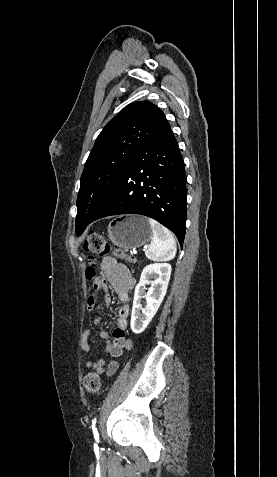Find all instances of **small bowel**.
Masks as SVG:
<instances>
[{
  "mask_svg": "<svg viewBox=\"0 0 277 477\" xmlns=\"http://www.w3.org/2000/svg\"><path fill=\"white\" fill-rule=\"evenodd\" d=\"M102 277L98 279V284L95 287L97 290H101L104 293L106 303H109L110 296L108 293L107 284L109 283L117 294L118 300L123 303L117 312L116 327L112 333V340H110L109 333L105 330L100 332V337L106 341V352L112 357H118L122 354L123 350H129L131 348V341L127 335L128 327V315L129 305L126 303L129 298V293L135 287V279L130 274L127 267L118 263L113 257H104L101 262ZM97 293H92L87 301V306L90 310L94 309L97 303ZM99 317H96L94 322L98 324ZM91 332L86 329L81 338V347L85 352L90 351V338ZM87 368L94 369L98 374L106 373L108 376L113 375L118 369V362L111 361L106 366L105 359L87 360L85 362Z\"/></svg>",
  "mask_w": 277,
  "mask_h": 477,
  "instance_id": "c3829d8e",
  "label": "small bowel"
}]
</instances>
